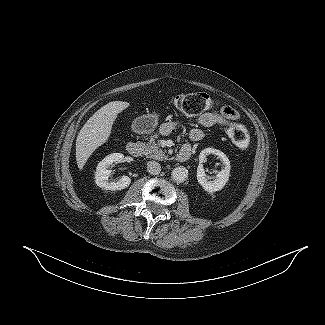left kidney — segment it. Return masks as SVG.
I'll use <instances>...</instances> for the list:
<instances>
[{
    "mask_svg": "<svg viewBox=\"0 0 325 325\" xmlns=\"http://www.w3.org/2000/svg\"><path fill=\"white\" fill-rule=\"evenodd\" d=\"M216 155L222 161V170L216 171V177L211 180L209 176L205 174L202 163L206 161L208 155ZM199 166L197 168V180L203 189L209 193L220 191L228 182L230 176V161L228 157L220 150L214 148H206L200 152Z\"/></svg>",
    "mask_w": 325,
    "mask_h": 325,
    "instance_id": "5707ae66",
    "label": "left kidney"
}]
</instances>
